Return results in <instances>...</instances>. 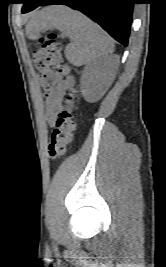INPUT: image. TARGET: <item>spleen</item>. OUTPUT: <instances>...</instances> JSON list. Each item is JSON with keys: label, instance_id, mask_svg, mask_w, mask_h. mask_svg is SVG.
<instances>
[{"label": "spleen", "instance_id": "3e777b00", "mask_svg": "<svg viewBox=\"0 0 166 267\" xmlns=\"http://www.w3.org/2000/svg\"><path fill=\"white\" fill-rule=\"evenodd\" d=\"M56 28L65 33L71 43L66 57L75 66L94 62L113 52L112 39L99 25L82 13L64 5H51L33 15L28 24L30 34Z\"/></svg>", "mask_w": 166, "mask_h": 267}]
</instances>
